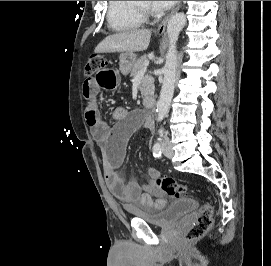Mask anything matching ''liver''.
Returning a JSON list of instances; mask_svg holds the SVG:
<instances>
[{"instance_id": "1", "label": "liver", "mask_w": 271, "mask_h": 266, "mask_svg": "<svg viewBox=\"0 0 271 266\" xmlns=\"http://www.w3.org/2000/svg\"><path fill=\"white\" fill-rule=\"evenodd\" d=\"M151 30L139 29L119 32L107 36L95 48V53L137 52L148 48Z\"/></svg>"}]
</instances>
